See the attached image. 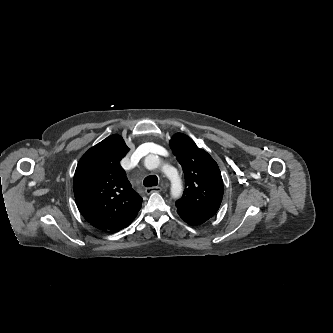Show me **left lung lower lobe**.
I'll list each match as a JSON object with an SVG mask.
<instances>
[{"label": "left lung lower lobe", "mask_w": 333, "mask_h": 333, "mask_svg": "<svg viewBox=\"0 0 333 333\" xmlns=\"http://www.w3.org/2000/svg\"><path fill=\"white\" fill-rule=\"evenodd\" d=\"M177 213L179 214V216L188 224L190 225H200L204 222H206L209 218H206L204 216H199V215H194V214H190L187 212H183L181 210H177Z\"/></svg>", "instance_id": "1"}]
</instances>
